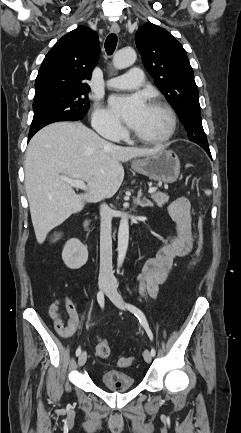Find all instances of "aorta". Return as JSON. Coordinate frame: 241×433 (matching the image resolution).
<instances>
[{
    "label": "aorta",
    "mask_w": 241,
    "mask_h": 433,
    "mask_svg": "<svg viewBox=\"0 0 241 433\" xmlns=\"http://www.w3.org/2000/svg\"><path fill=\"white\" fill-rule=\"evenodd\" d=\"M136 52L133 49H122L115 53L113 65L116 69H124L131 66L136 61ZM129 242V223L127 218H122L118 231V257L117 267L119 268L126 256Z\"/></svg>",
    "instance_id": "762f6f07"
}]
</instances>
